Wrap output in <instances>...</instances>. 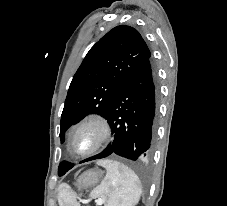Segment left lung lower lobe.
<instances>
[{
	"label": "left lung lower lobe",
	"mask_w": 227,
	"mask_h": 206,
	"mask_svg": "<svg viewBox=\"0 0 227 206\" xmlns=\"http://www.w3.org/2000/svg\"><path fill=\"white\" fill-rule=\"evenodd\" d=\"M157 100L158 88L148 59L122 84L110 106L106 119L114 133L113 143L80 163L111 154L131 160L149 156L155 140Z\"/></svg>",
	"instance_id": "obj_1"
}]
</instances>
